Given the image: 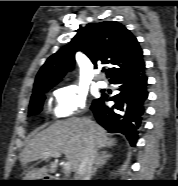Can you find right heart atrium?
<instances>
[{"instance_id": "right-heart-atrium-1", "label": "right heart atrium", "mask_w": 178, "mask_h": 186, "mask_svg": "<svg viewBox=\"0 0 178 186\" xmlns=\"http://www.w3.org/2000/svg\"><path fill=\"white\" fill-rule=\"evenodd\" d=\"M54 114L58 119H66L84 111L87 104L86 93L76 86H65L54 91Z\"/></svg>"}]
</instances>
